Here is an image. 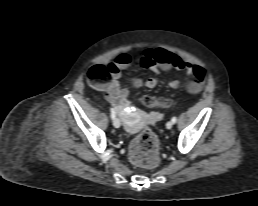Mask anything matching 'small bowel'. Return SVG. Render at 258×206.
I'll list each match as a JSON object with an SVG mask.
<instances>
[{
	"label": "small bowel",
	"instance_id": "c3829d8e",
	"mask_svg": "<svg viewBox=\"0 0 258 206\" xmlns=\"http://www.w3.org/2000/svg\"><path fill=\"white\" fill-rule=\"evenodd\" d=\"M133 63V58L128 54L118 55L107 68L109 70L110 79L107 83L102 84L100 89L105 92L108 100L116 107V109L123 115L128 114V95L126 88L121 86L122 71L128 69ZM139 64L142 67L151 69L154 72L169 71L172 69L183 71L187 75L194 76V80L190 81L186 88L188 92L196 94L201 91L205 83V69L199 65H195L186 61L174 53L168 52L164 49H148L139 59ZM132 84L136 88L147 87L153 88L158 84L157 78H134ZM168 85L176 89L179 87L178 80H171ZM162 118V114L158 112H151L147 117L148 121H158ZM125 124L128 128L134 127V122L126 117Z\"/></svg>",
	"mask_w": 258,
	"mask_h": 206
}]
</instances>
